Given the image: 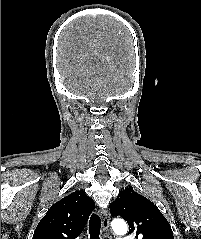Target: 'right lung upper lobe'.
<instances>
[{
    "label": "right lung upper lobe",
    "instance_id": "1",
    "mask_svg": "<svg viewBox=\"0 0 201 239\" xmlns=\"http://www.w3.org/2000/svg\"><path fill=\"white\" fill-rule=\"evenodd\" d=\"M95 208L94 201L75 191L56 202L38 223L33 239H75Z\"/></svg>",
    "mask_w": 201,
    "mask_h": 239
}]
</instances>
